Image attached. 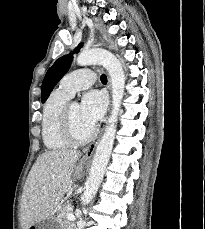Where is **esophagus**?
Here are the masks:
<instances>
[{
  "mask_svg": "<svg viewBox=\"0 0 205 229\" xmlns=\"http://www.w3.org/2000/svg\"><path fill=\"white\" fill-rule=\"evenodd\" d=\"M108 89L111 92V80L110 79H108ZM108 116H109V113L107 114V116L105 118V123H107V121H108ZM98 141H99V138L97 140H95L94 142H92L88 147H86L84 149V158L85 159H90L92 157L94 150L98 144Z\"/></svg>",
  "mask_w": 205,
  "mask_h": 229,
  "instance_id": "esophagus-1",
  "label": "esophagus"
}]
</instances>
